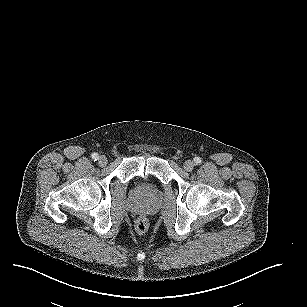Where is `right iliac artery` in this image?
Here are the masks:
<instances>
[{
    "instance_id": "82829eb1",
    "label": "right iliac artery",
    "mask_w": 307,
    "mask_h": 307,
    "mask_svg": "<svg viewBox=\"0 0 307 307\" xmlns=\"http://www.w3.org/2000/svg\"><path fill=\"white\" fill-rule=\"evenodd\" d=\"M92 159H93L94 161H97V160L99 159L98 154H97V153H93V154H92Z\"/></svg>"
}]
</instances>
